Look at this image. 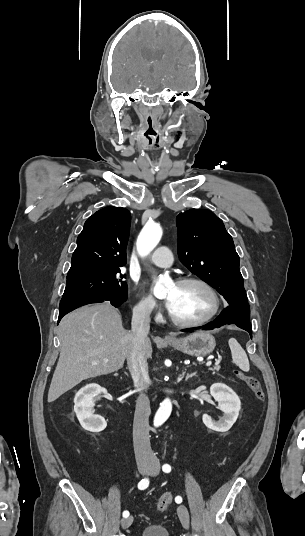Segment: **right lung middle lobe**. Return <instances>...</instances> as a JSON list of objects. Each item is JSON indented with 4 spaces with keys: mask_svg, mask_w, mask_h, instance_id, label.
Segmentation results:
<instances>
[{
    "mask_svg": "<svg viewBox=\"0 0 305 536\" xmlns=\"http://www.w3.org/2000/svg\"><path fill=\"white\" fill-rule=\"evenodd\" d=\"M120 269L92 272L67 278L62 298L89 296L126 301L128 288Z\"/></svg>",
    "mask_w": 305,
    "mask_h": 536,
    "instance_id": "dd1d6c3e",
    "label": "right lung middle lobe"
}]
</instances>
